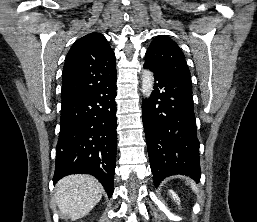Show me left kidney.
Returning a JSON list of instances; mask_svg holds the SVG:
<instances>
[{"label":"left kidney","instance_id":"1","mask_svg":"<svg viewBox=\"0 0 257 222\" xmlns=\"http://www.w3.org/2000/svg\"><path fill=\"white\" fill-rule=\"evenodd\" d=\"M169 192H170V194L172 195V198H173L174 200H176L177 203L179 204V198H178V196L176 195V193H175L174 191H172V190H170Z\"/></svg>","mask_w":257,"mask_h":222}]
</instances>
